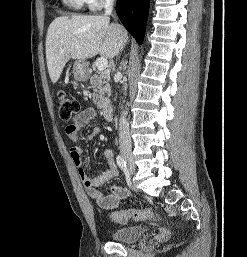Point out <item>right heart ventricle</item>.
Segmentation results:
<instances>
[{"instance_id":"e07e8e85","label":"right heart ventricle","mask_w":247,"mask_h":257,"mask_svg":"<svg viewBox=\"0 0 247 257\" xmlns=\"http://www.w3.org/2000/svg\"><path fill=\"white\" fill-rule=\"evenodd\" d=\"M63 3L71 9L80 10L84 6L82 0H62Z\"/></svg>"}]
</instances>
